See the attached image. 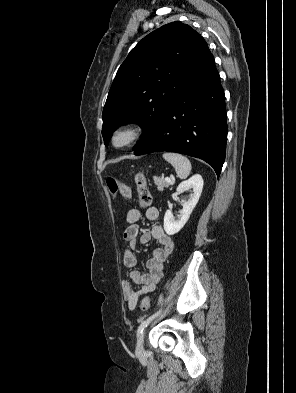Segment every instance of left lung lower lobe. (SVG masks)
I'll return each instance as SVG.
<instances>
[{
  "label": "left lung lower lobe",
  "instance_id": "left-lung-lower-lobe-1",
  "mask_svg": "<svg viewBox=\"0 0 296 393\" xmlns=\"http://www.w3.org/2000/svg\"><path fill=\"white\" fill-rule=\"evenodd\" d=\"M226 118L224 91L211 55L134 154L172 151L197 157L219 176L226 153Z\"/></svg>",
  "mask_w": 296,
  "mask_h": 393
}]
</instances>
